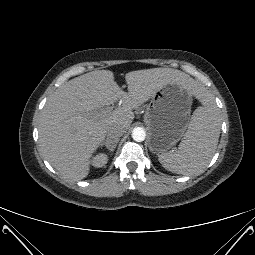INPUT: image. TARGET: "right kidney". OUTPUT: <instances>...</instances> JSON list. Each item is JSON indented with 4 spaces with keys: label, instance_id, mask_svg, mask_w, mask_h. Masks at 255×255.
<instances>
[{
    "label": "right kidney",
    "instance_id": "right-kidney-1",
    "mask_svg": "<svg viewBox=\"0 0 255 255\" xmlns=\"http://www.w3.org/2000/svg\"><path fill=\"white\" fill-rule=\"evenodd\" d=\"M107 161H108L107 156L105 154L101 153V154L96 155L92 159L91 163L94 167L99 168V167L105 166V164H107Z\"/></svg>",
    "mask_w": 255,
    "mask_h": 255
}]
</instances>
